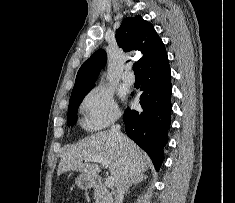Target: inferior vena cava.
<instances>
[{"label": "inferior vena cava", "mask_w": 235, "mask_h": 203, "mask_svg": "<svg viewBox=\"0 0 235 203\" xmlns=\"http://www.w3.org/2000/svg\"><path fill=\"white\" fill-rule=\"evenodd\" d=\"M111 132L118 137V139L121 142H125V136L121 133L120 131V125L119 124H113L111 126ZM128 175H127V170H125V173L123 177L121 178L120 182L117 185V190L115 194V202L114 203H123L124 199V193L127 187L128 183Z\"/></svg>", "instance_id": "602c4592"}]
</instances>
